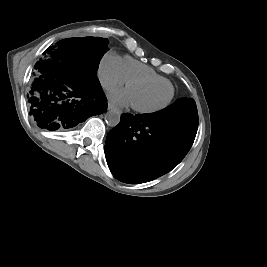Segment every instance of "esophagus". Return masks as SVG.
Instances as JSON below:
<instances>
[{
  "instance_id": "esophagus-1",
  "label": "esophagus",
  "mask_w": 267,
  "mask_h": 267,
  "mask_svg": "<svg viewBox=\"0 0 267 267\" xmlns=\"http://www.w3.org/2000/svg\"><path fill=\"white\" fill-rule=\"evenodd\" d=\"M108 110H116V107L112 103H108Z\"/></svg>"
}]
</instances>
